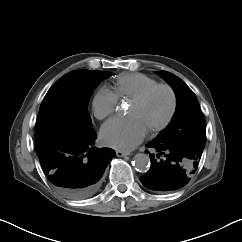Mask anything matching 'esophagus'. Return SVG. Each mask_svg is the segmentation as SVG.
<instances>
[{"instance_id":"esophagus-1","label":"esophagus","mask_w":242,"mask_h":242,"mask_svg":"<svg viewBox=\"0 0 242 242\" xmlns=\"http://www.w3.org/2000/svg\"><path fill=\"white\" fill-rule=\"evenodd\" d=\"M116 155H117L118 157H125V156L130 155V153L117 150V151H116Z\"/></svg>"}]
</instances>
